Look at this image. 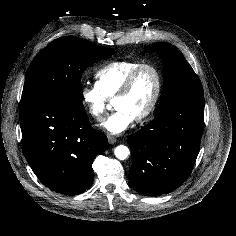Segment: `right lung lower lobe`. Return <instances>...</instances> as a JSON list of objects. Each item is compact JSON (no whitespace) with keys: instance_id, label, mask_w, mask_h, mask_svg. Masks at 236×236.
<instances>
[{"instance_id":"obj_1","label":"right lung lower lobe","mask_w":236,"mask_h":236,"mask_svg":"<svg viewBox=\"0 0 236 236\" xmlns=\"http://www.w3.org/2000/svg\"><path fill=\"white\" fill-rule=\"evenodd\" d=\"M23 153L48 188L77 195L93 181L92 163L107 137L89 124L84 107L36 99L21 104Z\"/></svg>"}]
</instances>
